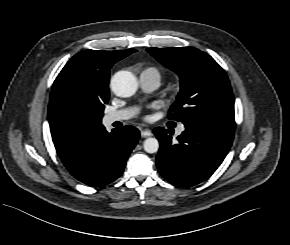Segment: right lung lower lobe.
<instances>
[{"instance_id": "98d812e1", "label": "right lung lower lobe", "mask_w": 290, "mask_h": 245, "mask_svg": "<svg viewBox=\"0 0 290 245\" xmlns=\"http://www.w3.org/2000/svg\"><path fill=\"white\" fill-rule=\"evenodd\" d=\"M139 137L140 132L133 126L113 129L111 133L103 127L73 153L60 159L79 181L92 187L103 186L121 176Z\"/></svg>"}]
</instances>
